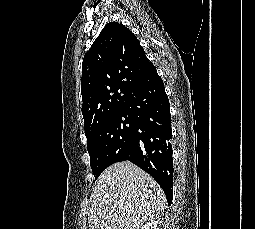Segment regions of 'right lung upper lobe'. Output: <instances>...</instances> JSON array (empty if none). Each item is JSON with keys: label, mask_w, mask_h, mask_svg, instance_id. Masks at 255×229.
Masks as SVG:
<instances>
[{"label": "right lung upper lobe", "mask_w": 255, "mask_h": 229, "mask_svg": "<svg viewBox=\"0 0 255 229\" xmlns=\"http://www.w3.org/2000/svg\"><path fill=\"white\" fill-rule=\"evenodd\" d=\"M155 69L127 27L108 23L82 63L81 110L86 137L123 111L141 79Z\"/></svg>", "instance_id": "obj_1"}]
</instances>
